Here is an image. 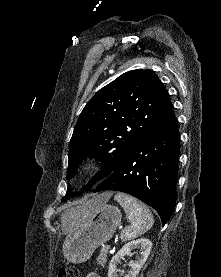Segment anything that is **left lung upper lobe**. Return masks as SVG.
I'll return each instance as SVG.
<instances>
[{
	"instance_id": "1",
	"label": "left lung upper lobe",
	"mask_w": 221,
	"mask_h": 277,
	"mask_svg": "<svg viewBox=\"0 0 221 277\" xmlns=\"http://www.w3.org/2000/svg\"><path fill=\"white\" fill-rule=\"evenodd\" d=\"M172 108L169 94L153 70L120 75L100 89L82 110L69 143L67 179L87 157H97L103 164L83 191L108 177L130 148ZM70 195L68 189L62 201Z\"/></svg>"
}]
</instances>
